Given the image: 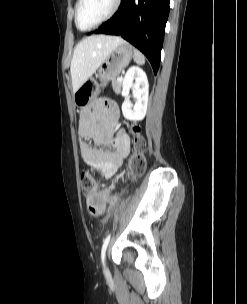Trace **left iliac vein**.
I'll list each match as a JSON object with an SVG mask.
<instances>
[{"mask_svg": "<svg viewBox=\"0 0 247 304\" xmlns=\"http://www.w3.org/2000/svg\"><path fill=\"white\" fill-rule=\"evenodd\" d=\"M104 271L107 272V268L104 266Z\"/></svg>", "mask_w": 247, "mask_h": 304, "instance_id": "obj_1", "label": "left iliac vein"}]
</instances>
